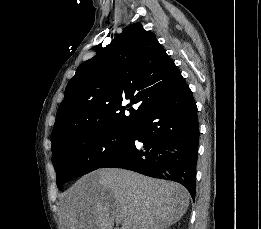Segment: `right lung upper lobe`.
Returning <instances> with one entry per match:
<instances>
[{
	"instance_id": "right-lung-upper-lobe-1",
	"label": "right lung upper lobe",
	"mask_w": 261,
	"mask_h": 229,
	"mask_svg": "<svg viewBox=\"0 0 261 229\" xmlns=\"http://www.w3.org/2000/svg\"><path fill=\"white\" fill-rule=\"evenodd\" d=\"M182 79L154 33L140 23L127 26L68 82L52 131V150L79 130L134 131ZM132 104L138 108L128 109L126 117L124 110Z\"/></svg>"
}]
</instances>
